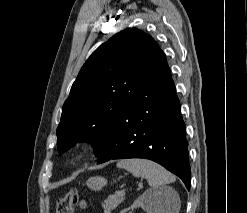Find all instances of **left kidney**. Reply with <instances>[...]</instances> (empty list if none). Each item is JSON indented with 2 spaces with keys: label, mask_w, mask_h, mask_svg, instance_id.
Listing matches in <instances>:
<instances>
[{
  "label": "left kidney",
  "mask_w": 247,
  "mask_h": 213,
  "mask_svg": "<svg viewBox=\"0 0 247 213\" xmlns=\"http://www.w3.org/2000/svg\"><path fill=\"white\" fill-rule=\"evenodd\" d=\"M157 190L145 191L130 207L131 210L143 208L147 213H161V196ZM126 210L121 213H125Z\"/></svg>",
  "instance_id": "5707ae66"
}]
</instances>
